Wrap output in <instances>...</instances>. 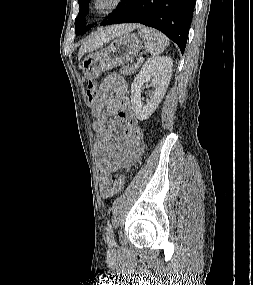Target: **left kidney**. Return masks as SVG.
Returning a JSON list of instances; mask_svg holds the SVG:
<instances>
[{
  "label": "left kidney",
  "instance_id": "left-kidney-1",
  "mask_svg": "<svg viewBox=\"0 0 253 285\" xmlns=\"http://www.w3.org/2000/svg\"><path fill=\"white\" fill-rule=\"evenodd\" d=\"M173 60L170 57H153L146 61L131 85L132 110L139 120H147L163 99L172 75ZM151 81L152 97L143 102L144 83Z\"/></svg>",
  "mask_w": 253,
  "mask_h": 285
}]
</instances>
